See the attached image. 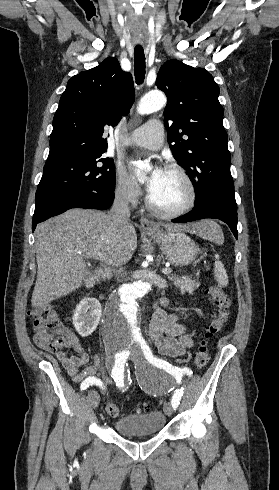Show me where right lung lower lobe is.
I'll use <instances>...</instances> for the list:
<instances>
[{"mask_svg":"<svg viewBox=\"0 0 279 490\" xmlns=\"http://www.w3.org/2000/svg\"><path fill=\"white\" fill-rule=\"evenodd\" d=\"M113 199L114 192L58 191L45 193L35 199L32 231L35 230L38 223L71 208L108 209Z\"/></svg>","mask_w":279,"mask_h":490,"instance_id":"1","label":"right lung lower lobe"}]
</instances>
